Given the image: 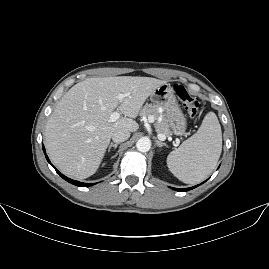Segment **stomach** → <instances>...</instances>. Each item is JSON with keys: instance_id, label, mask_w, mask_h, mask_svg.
Here are the masks:
<instances>
[{"instance_id": "obj_1", "label": "stomach", "mask_w": 269, "mask_h": 269, "mask_svg": "<svg viewBox=\"0 0 269 269\" xmlns=\"http://www.w3.org/2000/svg\"><path fill=\"white\" fill-rule=\"evenodd\" d=\"M151 101L164 109V116L172 133L184 136L187 130V119L177 97L169 84H164L151 94Z\"/></svg>"}]
</instances>
